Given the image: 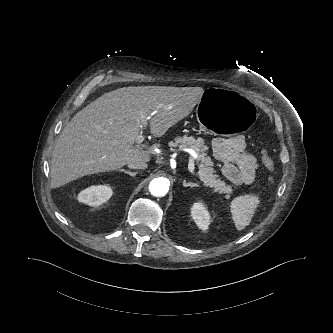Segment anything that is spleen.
<instances>
[{
	"label": "spleen",
	"mask_w": 333,
	"mask_h": 333,
	"mask_svg": "<svg viewBox=\"0 0 333 333\" xmlns=\"http://www.w3.org/2000/svg\"><path fill=\"white\" fill-rule=\"evenodd\" d=\"M259 204L256 195L248 194L234 198L230 204V211L238 231L248 226Z\"/></svg>",
	"instance_id": "3e777b00"
}]
</instances>
